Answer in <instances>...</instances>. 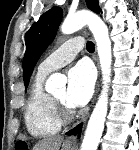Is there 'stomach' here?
I'll return each instance as SVG.
<instances>
[{
    "label": "stomach",
    "instance_id": "0dacf381",
    "mask_svg": "<svg viewBox=\"0 0 139 150\" xmlns=\"http://www.w3.org/2000/svg\"><path fill=\"white\" fill-rule=\"evenodd\" d=\"M62 150H73V148L72 147H70V146H63V148H62Z\"/></svg>",
    "mask_w": 139,
    "mask_h": 150
}]
</instances>
